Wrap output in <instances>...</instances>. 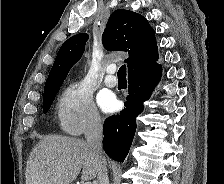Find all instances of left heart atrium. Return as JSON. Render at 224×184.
<instances>
[{
    "label": "left heart atrium",
    "mask_w": 224,
    "mask_h": 184,
    "mask_svg": "<svg viewBox=\"0 0 224 184\" xmlns=\"http://www.w3.org/2000/svg\"><path fill=\"white\" fill-rule=\"evenodd\" d=\"M100 106L105 112H113L118 106V101L112 95H104L100 101Z\"/></svg>",
    "instance_id": "1"
}]
</instances>
